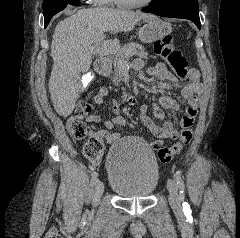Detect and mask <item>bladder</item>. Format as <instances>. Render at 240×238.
<instances>
[{
    "label": "bladder",
    "mask_w": 240,
    "mask_h": 238,
    "mask_svg": "<svg viewBox=\"0 0 240 238\" xmlns=\"http://www.w3.org/2000/svg\"><path fill=\"white\" fill-rule=\"evenodd\" d=\"M111 189L122 197L149 196L157 186L159 167L153 150L135 138L113 144L106 161Z\"/></svg>",
    "instance_id": "1"
}]
</instances>
